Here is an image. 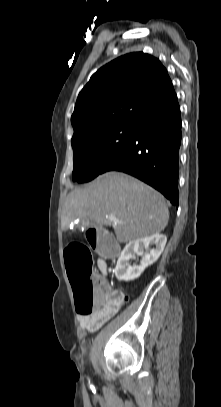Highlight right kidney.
Segmentation results:
<instances>
[{
    "mask_svg": "<svg viewBox=\"0 0 221 407\" xmlns=\"http://www.w3.org/2000/svg\"><path fill=\"white\" fill-rule=\"evenodd\" d=\"M166 242L167 237L163 234H153L130 241L121 252L117 261L114 271L116 278L122 281L137 279L148 266L156 262L163 252ZM149 246H154V248L149 251ZM144 250L147 252L144 253ZM134 254L143 256L138 266H131L129 264V261L134 258Z\"/></svg>",
    "mask_w": 221,
    "mask_h": 407,
    "instance_id": "obj_1",
    "label": "right kidney"
}]
</instances>
